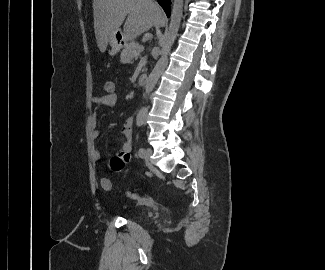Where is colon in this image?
I'll return each mask as SVG.
<instances>
[{"instance_id":"1","label":"colon","mask_w":325,"mask_h":270,"mask_svg":"<svg viewBox=\"0 0 325 270\" xmlns=\"http://www.w3.org/2000/svg\"><path fill=\"white\" fill-rule=\"evenodd\" d=\"M103 90L105 95H115L117 91V85L115 81L111 79L106 80L103 85ZM101 186L106 191H111L113 188L110 180L107 178L101 179ZM126 196L132 199H139V194L135 192L128 191L126 192Z\"/></svg>"}]
</instances>
